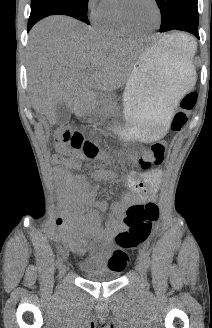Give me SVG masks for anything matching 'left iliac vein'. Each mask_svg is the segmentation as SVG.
I'll return each mask as SVG.
<instances>
[{"instance_id": "4c4485c4", "label": "left iliac vein", "mask_w": 212, "mask_h": 328, "mask_svg": "<svg viewBox=\"0 0 212 328\" xmlns=\"http://www.w3.org/2000/svg\"><path fill=\"white\" fill-rule=\"evenodd\" d=\"M137 270L140 274L142 281H146L147 278V268L144 261H140L137 265Z\"/></svg>"}]
</instances>
